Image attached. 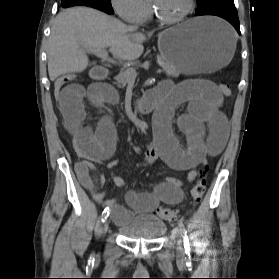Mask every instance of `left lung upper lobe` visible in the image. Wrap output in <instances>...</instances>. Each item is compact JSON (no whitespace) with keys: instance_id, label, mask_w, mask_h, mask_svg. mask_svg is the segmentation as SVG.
Returning a JSON list of instances; mask_svg holds the SVG:
<instances>
[{"instance_id":"1","label":"left lung upper lobe","mask_w":279,"mask_h":279,"mask_svg":"<svg viewBox=\"0 0 279 279\" xmlns=\"http://www.w3.org/2000/svg\"><path fill=\"white\" fill-rule=\"evenodd\" d=\"M215 1V0H197L199 8L204 7L208 3Z\"/></svg>"}]
</instances>
